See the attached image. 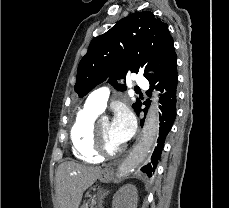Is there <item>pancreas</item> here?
<instances>
[{"label": "pancreas", "instance_id": "1", "mask_svg": "<svg viewBox=\"0 0 229 208\" xmlns=\"http://www.w3.org/2000/svg\"><path fill=\"white\" fill-rule=\"evenodd\" d=\"M95 204H96L95 200H92L91 204L90 202H87V204H85V206H81V208H95ZM99 208H102V206H99Z\"/></svg>", "mask_w": 229, "mask_h": 208}]
</instances>
